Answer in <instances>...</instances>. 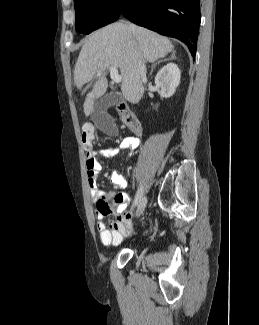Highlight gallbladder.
Listing matches in <instances>:
<instances>
[{"mask_svg":"<svg viewBox=\"0 0 259 325\" xmlns=\"http://www.w3.org/2000/svg\"><path fill=\"white\" fill-rule=\"evenodd\" d=\"M120 101L121 96L118 93H107L96 101L91 114L94 124L102 131H105L106 135H110L111 139H118L119 133L115 132L117 122L107 113V109L117 105Z\"/></svg>","mask_w":259,"mask_h":325,"instance_id":"1","label":"gallbladder"}]
</instances>
